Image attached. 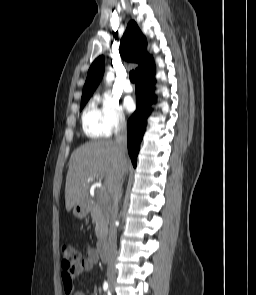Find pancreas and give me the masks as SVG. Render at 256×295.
<instances>
[{
	"instance_id": "cf45deb5",
	"label": "pancreas",
	"mask_w": 256,
	"mask_h": 295,
	"mask_svg": "<svg viewBox=\"0 0 256 295\" xmlns=\"http://www.w3.org/2000/svg\"><path fill=\"white\" fill-rule=\"evenodd\" d=\"M92 221L95 223V235L100 243L107 233L109 214L104 202L94 203L91 210Z\"/></svg>"
}]
</instances>
